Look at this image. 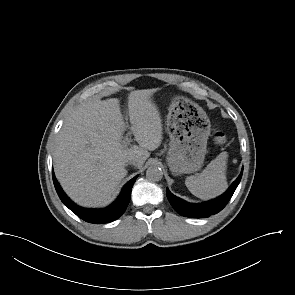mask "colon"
<instances>
[{
  "mask_svg": "<svg viewBox=\"0 0 295 295\" xmlns=\"http://www.w3.org/2000/svg\"><path fill=\"white\" fill-rule=\"evenodd\" d=\"M214 137L218 143H223L225 141V135L221 131L215 132Z\"/></svg>",
  "mask_w": 295,
  "mask_h": 295,
  "instance_id": "obj_1",
  "label": "colon"
}]
</instances>
